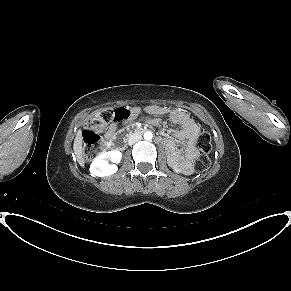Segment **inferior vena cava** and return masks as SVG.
<instances>
[{
    "mask_svg": "<svg viewBox=\"0 0 291 291\" xmlns=\"http://www.w3.org/2000/svg\"><path fill=\"white\" fill-rule=\"evenodd\" d=\"M142 138L141 135L139 134H133L129 137L128 143L129 145H133L134 143H136L137 141H139Z\"/></svg>",
    "mask_w": 291,
    "mask_h": 291,
    "instance_id": "602c4592",
    "label": "inferior vena cava"
}]
</instances>
